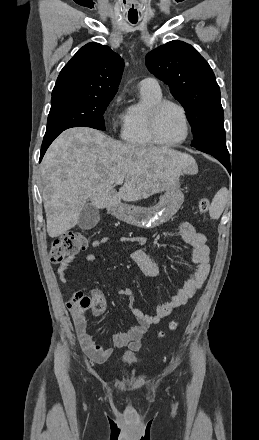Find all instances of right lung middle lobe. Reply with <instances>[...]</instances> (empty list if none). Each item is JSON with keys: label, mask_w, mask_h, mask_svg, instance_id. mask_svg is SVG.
Wrapping results in <instances>:
<instances>
[{"label": "right lung middle lobe", "mask_w": 259, "mask_h": 440, "mask_svg": "<svg viewBox=\"0 0 259 440\" xmlns=\"http://www.w3.org/2000/svg\"><path fill=\"white\" fill-rule=\"evenodd\" d=\"M112 98L74 93L52 96L45 136L78 126L105 130L103 113Z\"/></svg>", "instance_id": "dd1d6c3e"}]
</instances>
